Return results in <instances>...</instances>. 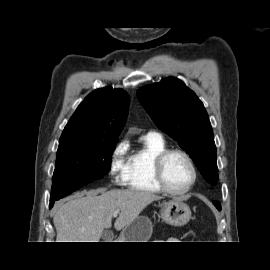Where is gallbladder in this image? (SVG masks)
<instances>
[{
    "label": "gallbladder",
    "instance_id": "gallbladder-1",
    "mask_svg": "<svg viewBox=\"0 0 270 270\" xmlns=\"http://www.w3.org/2000/svg\"><path fill=\"white\" fill-rule=\"evenodd\" d=\"M113 237V233L109 230L104 231L102 234V239L104 240V242H111L113 240Z\"/></svg>",
    "mask_w": 270,
    "mask_h": 270
}]
</instances>
